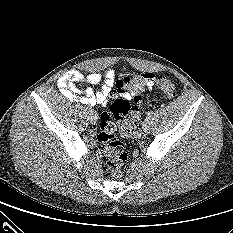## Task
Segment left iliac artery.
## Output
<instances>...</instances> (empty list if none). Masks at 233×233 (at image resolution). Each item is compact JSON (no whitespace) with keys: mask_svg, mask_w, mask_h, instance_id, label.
Segmentation results:
<instances>
[{"mask_svg":"<svg viewBox=\"0 0 233 233\" xmlns=\"http://www.w3.org/2000/svg\"><path fill=\"white\" fill-rule=\"evenodd\" d=\"M153 116V112H148L147 113V118L149 119L150 117H152Z\"/></svg>","mask_w":233,"mask_h":233,"instance_id":"left-iliac-artery-1","label":"left iliac artery"}]
</instances>
